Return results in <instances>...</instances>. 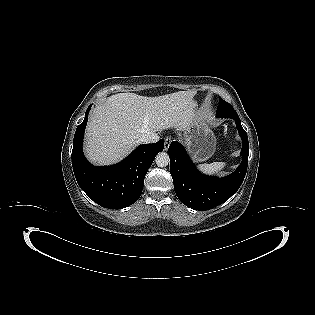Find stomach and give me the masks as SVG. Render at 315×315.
I'll use <instances>...</instances> for the list:
<instances>
[{
	"instance_id": "1",
	"label": "stomach",
	"mask_w": 315,
	"mask_h": 315,
	"mask_svg": "<svg viewBox=\"0 0 315 315\" xmlns=\"http://www.w3.org/2000/svg\"><path fill=\"white\" fill-rule=\"evenodd\" d=\"M185 140L188 151L197 162L207 160L215 151L216 140L214 134L201 117H197L190 122L185 132Z\"/></svg>"
}]
</instances>
